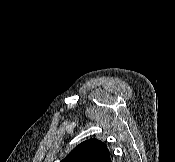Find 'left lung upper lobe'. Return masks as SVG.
<instances>
[{"label":"left lung upper lobe","mask_w":175,"mask_h":162,"mask_svg":"<svg viewBox=\"0 0 175 162\" xmlns=\"http://www.w3.org/2000/svg\"><path fill=\"white\" fill-rule=\"evenodd\" d=\"M108 158L106 144L93 138L77 145L61 162H106Z\"/></svg>","instance_id":"5c2ea615"}]
</instances>
